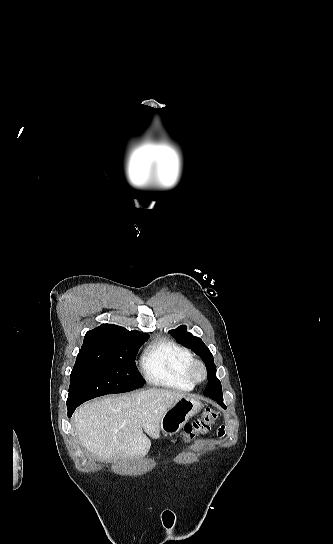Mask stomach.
Masks as SVG:
<instances>
[{"label":"stomach","instance_id":"stomach-1","mask_svg":"<svg viewBox=\"0 0 333 544\" xmlns=\"http://www.w3.org/2000/svg\"><path fill=\"white\" fill-rule=\"evenodd\" d=\"M201 408V402L195 399L184 397L178 400L162 417L159 431H162L164 435L176 434Z\"/></svg>","mask_w":333,"mask_h":544}]
</instances>
